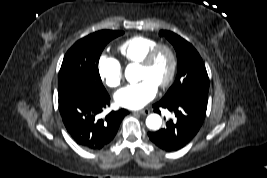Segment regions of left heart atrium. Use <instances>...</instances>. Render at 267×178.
Segmentation results:
<instances>
[{
	"label": "left heart atrium",
	"instance_id": "left-heart-atrium-1",
	"mask_svg": "<svg viewBox=\"0 0 267 178\" xmlns=\"http://www.w3.org/2000/svg\"><path fill=\"white\" fill-rule=\"evenodd\" d=\"M158 86L149 79L123 87L115 94L116 103L129 109H140L157 94Z\"/></svg>",
	"mask_w": 267,
	"mask_h": 178
}]
</instances>
